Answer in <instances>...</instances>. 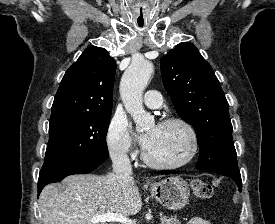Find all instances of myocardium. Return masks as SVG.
Listing matches in <instances>:
<instances>
[{"label":"myocardium","mask_w":275,"mask_h":224,"mask_svg":"<svg viewBox=\"0 0 275 224\" xmlns=\"http://www.w3.org/2000/svg\"><path fill=\"white\" fill-rule=\"evenodd\" d=\"M171 124H179L182 127L186 129V131L189 134L190 141H191V147L188 155L181 161L176 162V163H163L156 161L153 159L148 151H145L144 153V161L147 165L150 167L156 168V169H161V170H174V169H179L182 168L186 165H188L196 156L199 143H198V135L196 133V130L192 126L190 122L187 120L180 118V117H168L163 120H161L158 125L159 126H165V125H171Z\"/></svg>","instance_id":"myocardium-1"}]
</instances>
